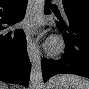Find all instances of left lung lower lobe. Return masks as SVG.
<instances>
[{"mask_svg":"<svg viewBox=\"0 0 89 89\" xmlns=\"http://www.w3.org/2000/svg\"><path fill=\"white\" fill-rule=\"evenodd\" d=\"M50 0H47V3ZM65 17L58 16L57 25L67 46L58 61L42 59V75L46 82L57 74H77L89 78V9L65 8ZM50 14L49 8L45 9Z\"/></svg>","mask_w":89,"mask_h":89,"instance_id":"0a47b994","label":"left lung lower lobe"}]
</instances>
